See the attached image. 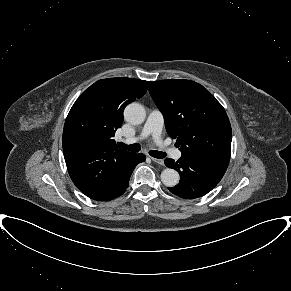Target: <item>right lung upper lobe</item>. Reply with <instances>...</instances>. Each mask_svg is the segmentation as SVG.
Listing matches in <instances>:
<instances>
[{"instance_id": "obj_1", "label": "right lung upper lobe", "mask_w": 291, "mask_h": 291, "mask_svg": "<svg viewBox=\"0 0 291 291\" xmlns=\"http://www.w3.org/2000/svg\"><path fill=\"white\" fill-rule=\"evenodd\" d=\"M149 84L132 78L99 80L72 106L63 129V153L73 183L86 196L101 191L133 154L118 149L113 137L124 108L142 97Z\"/></svg>"}]
</instances>
